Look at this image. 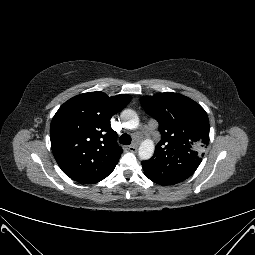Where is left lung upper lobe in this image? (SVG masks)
Masks as SVG:
<instances>
[{"mask_svg": "<svg viewBox=\"0 0 255 255\" xmlns=\"http://www.w3.org/2000/svg\"><path fill=\"white\" fill-rule=\"evenodd\" d=\"M144 110L159 122L162 139L148 161L145 175L155 183L174 185L189 178L200 165L209 143V120L192 99L177 93L143 96Z\"/></svg>", "mask_w": 255, "mask_h": 255, "instance_id": "1", "label": "left lung upper lobe"}]
</instances>
